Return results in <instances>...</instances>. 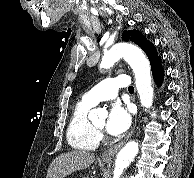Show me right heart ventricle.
Masks as SVG:
<instances>
[{
  "label": "right heart ventricle",
  "mask_w": 194,
  "mask_h": 178,
  "mask_svg": "<svg viewBox=\"0 0 194 178\" xmlns=\"http://www.w3.org/2000/svg\"><path fill=\"white\" fill-rule=\"evenodd\" d=\"M91 107V104L81 100L72 111L66 138L68 144L74 149L94 150L99 145V134L88 120V112Z\"/></svg>",
  "instance_id": "1"
}]
</instances>
